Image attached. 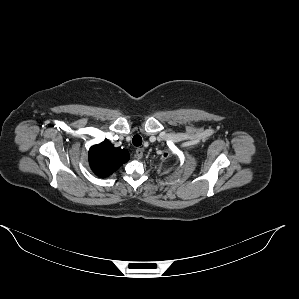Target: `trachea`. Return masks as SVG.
<instances>
[{"instance_id":"trachea-1","label":"trachea","mask_w":299,"mask_h":299,"mask_svg":"<svg viewBox=\"0 0 299 299\" xmlns=\"http://www.w3.org/2000/svg\"><path fill=\"white\" fill-rule=\"evenodd\" d=\"M132 142H133L134 146H140L142 144V138H141V136L140 135H135L133 137Z\"/></svg>"}]
</instances>
